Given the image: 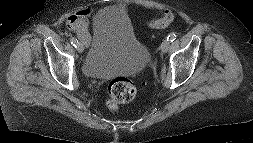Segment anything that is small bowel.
Listing matches in <instances>:
<instances>
[{"instance_id":"c3829d8e","label":"small bowel","mask_w":253,"mask_h":143,"mask_svg":"<svg viewBox=\"0 0 253 143\" xmlns=\"http://www.w3.org/2000/svg\"><path fill=\"white\" fill-rule=\"evenodd\" d=\"M93 11L92 7L82 8L67 17L66 25L69 29H71L78 38L85 44H87L90 40V34L88 31L89 26V16ZM173 20V14L171 11L165 10L162 12L161 16L149 22V26L151 28H164L168 26ZM158 21L159 24L156 27H152L150 25L151 22Z\"/></svg>"}]
</instances>
